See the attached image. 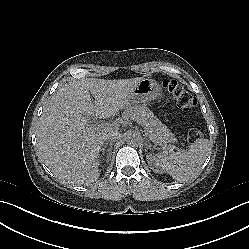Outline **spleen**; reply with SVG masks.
Instances as JSON below:
<instances>
[{
  "mask_svg": "<svg viewBox=\"0 0 249 249\" xmlns=\"http://www.w3.org/2000/svg\"><path fill=\"white\" fill-rule=\"evenodd\" d=\"M211 150L208 139L190 145L184 152H163L156 155V161L163 171L174 175L180 172H193L201 168Z\"/></svg>",
  "mask_w": 249,
  "mask_h": 249,
  "instance_id": "3e777b00",
  "label": "spleen"
}]
</instances>
